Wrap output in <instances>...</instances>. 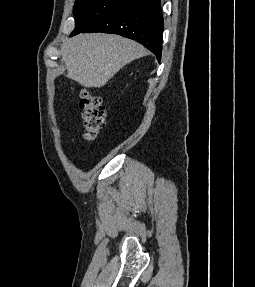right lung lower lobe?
Segmentation results:
<instances>
[{"label": "right lung lower lobe", "mask_w": 255, "mask_h": 287, "mask_svg": "<svg viewBox=\"0 0 255 287\" xmlns=\"http://www.w3.org/2000/svg\"><path fill=\"white\" fill-rule=\"evenodd\" d=\"M163 28L160 0H135L110 12L82 33H113L136 40L160 61Z\"/></svg>", "instance_id": "obj_1"}]
</instances>
